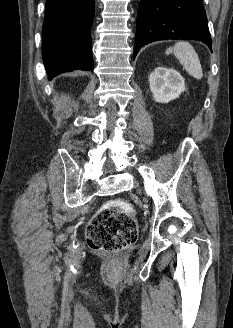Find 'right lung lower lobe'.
<instances>
[{
    "instance_id": "obj_1",
    "label": "right lung lower lobe",
    "mask_w": 233,
    "mask_h": 328,
    "mask_svg": "<svg viewBox=\"0 0 233 328\" xmlns=\"http://www.w3.org/2000/svg\"><path fill=\"white\" fill-rule=\"evenodd\" d=\"M94 12V0H47L42 54L49 79L74 69H93Z\"/></svg>"
}]
</instances>
